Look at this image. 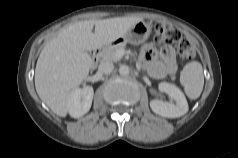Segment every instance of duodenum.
<instances>
[{"mask_svg":"<svg viewBox=\"0 0 238 158\" xmlns=\"http://www.w3.org/2000/svg\"><path fill=\"white\" fill-rule=\"evenodd\" d=\"M99 52H100V49H99V48H96V49L93 51L92 57H91V63H92V65L97 64L98 59H99Z\"/></svg>","mask_w":238,"mask_h":158,"instance_id":"obj_1","label":"duodenum"}]
</instances>
